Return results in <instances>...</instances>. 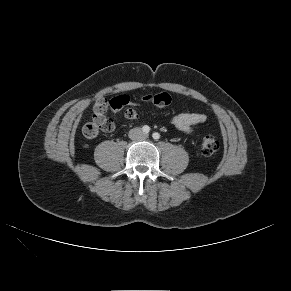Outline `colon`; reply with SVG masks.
I'll return each mask as SVG.
<instances>
[{
	"label": "colon",
	"instance_id": "colon-1",
	"mask_svg": "<svg viewBox=\"0 0 291 291\" xmlns=\"http://www.w3.org/2000/svg\"><path fill=\"white\" fill-rule=\"evenodd\" d=\"M171 97L167 93L146 94L144 97L132 95L123 92L120 96H115L110 101V106L115 112L120 111L123 107L129 105H140L148 107H166L170 104ZM114 129L113 122L105 116V114H95L92 116V121L85 124L83 127V135L87 139H94L98 134L103 132H110ZM219 149V142L211 135L207 134L203 137L200 150L204 156H213Z\"/></svg>",
	"mask_w": 291,
	"mask_h": 291
}]
</instances>
